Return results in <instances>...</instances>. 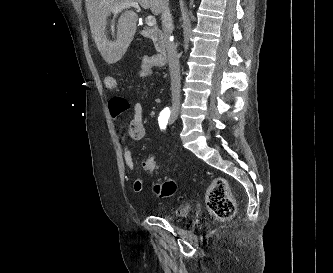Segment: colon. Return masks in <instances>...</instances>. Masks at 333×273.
<instances>
[{
  "label": "colon",
  "mask_w": 333,
  "mask_h": 273,
  "mask_svg": "<svg viewBox=\"0 0 333 273\" xmlns=\"http://www.w3.org/2000/svg\"><path fill=\"white\" fill-rule=\"evenodd\" d=\"M150 64L153 67L161 66L162 59L155 55L150 56ZM105 86L108 90L114 91L117 88V83L114 78H106ZM144 171L150 174L158 172V163L153 158H147L142 163ZM177 189V184L172 178H164L162 181L154 185V192L159 197L172 196ZM206 204L211 214L218 220H227L235 214V201L231 195L228 182L221 177L212 179L206 190Z\"/></svg>",
  "instance_id": "5ec220e1"
}]
</instances>
